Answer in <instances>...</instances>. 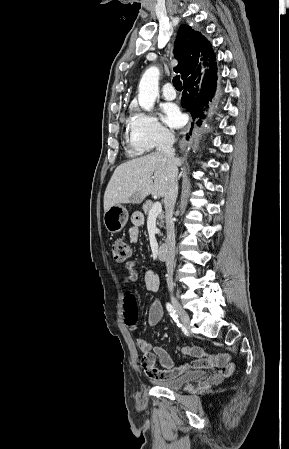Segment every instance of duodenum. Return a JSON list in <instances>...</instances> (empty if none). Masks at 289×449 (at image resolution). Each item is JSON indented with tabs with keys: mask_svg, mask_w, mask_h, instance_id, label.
I'll return each mask as SVG.
<instances>
[{
	"mask_svg": "<svg viewBox=\"0 0 289 449\" xmlns=\"http://www.w3.org/2000/svg\"><path fill=\"white\" fill-rule=\"evenodd\" d=\"M157 256L159 260L165 261L168 256V245L166 243H162L159 245L157 249Z\"/></svg>",
	"mask_w": 289,
	"mask_h": 449,
	"instance_id": "410a0bca",
	"label": "duodenum"
}]
</instances>
